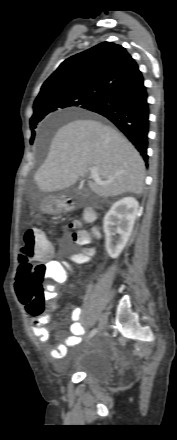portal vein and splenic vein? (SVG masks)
Listing matches in <instances>:
<instances>
[{
	"label": "portal vein and splenic vein",
	"mask_w": 177,
	"mask_h": 440,
	"mask_svg": "<svg viewBox=\"0 0 177 440\" xmlns=\"http://www.w3.org/2000/svg\"><path fill=\"white\" fill-rule=\"evenodd\" d=\"M91 177L98 183V184H103L104 182L101 181L98 171L96 168H92L91 169Z\"/></svg>",
	"instance_id": "1"
}]
</instances>
